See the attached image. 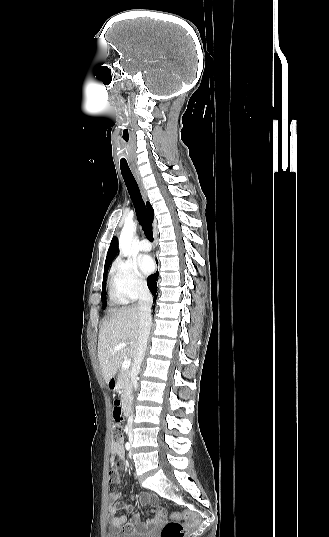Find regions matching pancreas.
<instances>
[{"mask_svg": "<svg viewBox=\"0 0 329 537\" xmlns=\"http://www.w3.org/2000/svg\"><path fill=\"white\" fill-rule=\"evenodd\" d=\"M117 389L121 391V397L127 403L132 394V383L127 369H121L119 371Z\"/></svg>", "mask_w": 329, "mask_h": 537, "instance_id": "1", "label": "pancreas"}]
</instances>
